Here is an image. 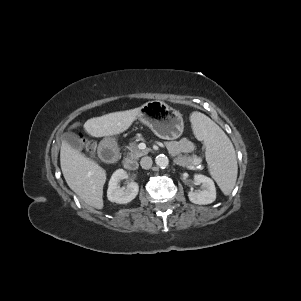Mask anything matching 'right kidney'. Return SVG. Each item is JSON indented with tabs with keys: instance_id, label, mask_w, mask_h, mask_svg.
<instances>
[{
	"instance_id": "ca27d5eb",
	"label": "right kidney",
	"mask_w": 301,
	"mask_h": 301,
	"mask_svg": "<svg viewBox=\"0 0 301 301\" xmlns=\"http://www.w3.org/2000/svg\"><path fill=\"white\" fill-rule=\"evenodd\" d=\"M127 176V173L123 169H118L112 174L107 190V198L109 201L118 204H127L137 196L139 186L136 182L129 183L126 188H120V181Z\"/></svg>"
}]
</instances>
